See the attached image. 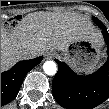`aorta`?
Segmentation results:
<instances>
[{
    "label": "aorta",
    "instance_id": "762f6f07",
    "mask_svg": "<svg viewBox=\"0 0 109 109\" xmlns=\"http://www.w3.org/2000/svg\"><path fill=\"white\" fill-rule=\"evenodd\" d=\"M43 70L47 75H55L57 72V65L54 61H46L43 65Z\"/></svg>",
    "mask_w": 109,
    "mask_h": 109
}]
</instances>
